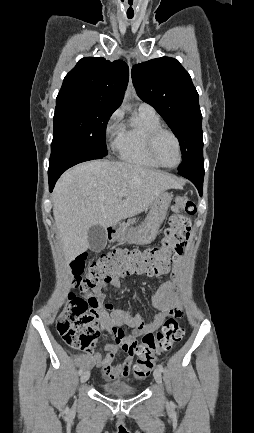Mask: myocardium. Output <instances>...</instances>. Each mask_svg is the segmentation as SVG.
<instances>
[{
    "label": "myocardium",
    "instance_id": "1",
    "mask_svg": "<svg viewBox=\"0 0 254 433\" xmlns=\"http://www.w3.org/2000/svg\"><path fill=\"white\" fill-rule=\"evenodd\" d=\"M161 133H167L169 134L176 142L177 145V150H178V160L177 162L172 165V166H167L165 164H163L157 157L156 152H155V144H156V140L158 138V136ZM146 147H147V152L150 156V158L159 166L162 168H166V169H174L176 167H178L182 161V148H181V143L180 140L178 138V136L170 129L163 127V126H158L153 128L152 130H150V132L147 135V140H146Z\"/></svg>",
    "mask_w": 254,
    "mask_h": 433
}]
</instances>
